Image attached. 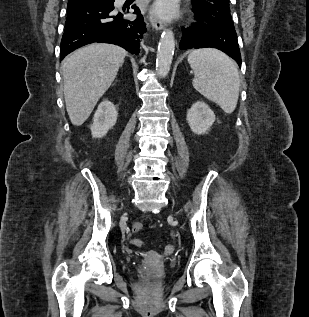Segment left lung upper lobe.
<instances>
[{
	"mask_svg": "<svg viewBox=\"0 0 309 317\" xmlns=\"http://www.w3.org/2000/svg\"><path fill=\"white\" fill-rule=\"evenodd\" d=\"M193 10L217 20L221 25L233 26L229 0H192Z\"/></svg>",
	"mask_w": 309,
	"mask_h": 317,
	"instance_id": "5c2ea615",
	"label": "left lung upper lobe"
}]
</instances>
